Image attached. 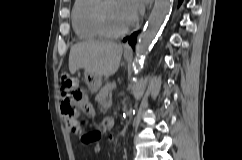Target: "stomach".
<instances>
[{"label": "stomach", "mask_w": 242, "mask_h": 160, "mask_svg": "<svg viewBox=\"0 0 242 160\" xmlns=\"http://www.w3.org/2000/svg\"><path fill=\"white\" fill-rule=\"evenodd\" d=\"M124 57L126 59L130 58L127 54ZM84 81L91 93H96L102 85V77L90 73L85 74Z\"/></svg>", "instance_id": "stomach-1"}]
</instances>
